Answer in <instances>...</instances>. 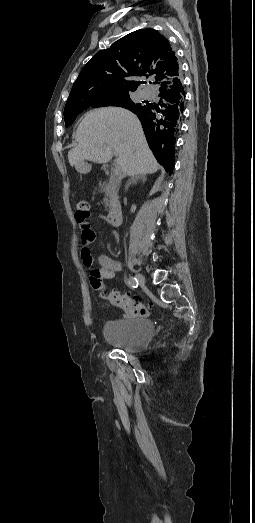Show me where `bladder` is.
<instances>
[{
  "mask_svg": "<svg viewBox=\"0 0 255 523\" xmlns=\"http://www.w3.org/2000/svg\"><path fill=\"white\" fill-rule=\"evenodd\" d=\"M154 331L152 321L133 316L109 319L104 324V338L125 352H138L146 347Z\"/></svg>",
  "mask_w": 255,
  "mask_h": 523,
  "instance_id": "bladder-1",
  "label": "bladder"
}]
</instances>
